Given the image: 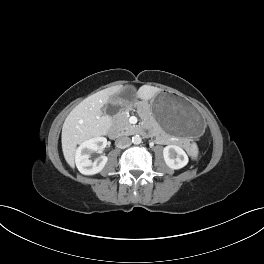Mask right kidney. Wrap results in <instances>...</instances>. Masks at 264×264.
Listing matches in <instances>:
<instances>
[{"label": "right kidney", "mask_w": 264, "mask_h": 264, "mask_svg": "<svg viewBox=\"0 0 264 264\" xmlns=\"http://www.w3.org/2000/svg\"><path fill=\"white\" fill-rule=\"evenodd\" d=\"M106 145L107 139L104 137L91 138L81 143L75 153V163L80 173L94 175L102 171L108 158L102 155L92 162L90 154L104 148Z\"/></svg>", "instance_id": "1"}]
</instances>
